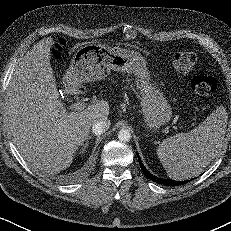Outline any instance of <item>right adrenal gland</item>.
I'll list each match as a JSON object with an SVG mask.
<instances>
[{"mask_svg":"<svg viewBox=\"0 0 231 231\" xmlns=\"http://www.w3.org/2000/svg\"><path fill=\"white\" fill-rule=\"evenodd\" d=\"M90 136L87 138V140L85 141V143H83L82 148H81V153L85 152L86 148L89 145V140H90Z\"/></svg>","mask_w":231,"mask_h":231,"instance_id":"1","label":"right adrenal gland"}]
</instances>
